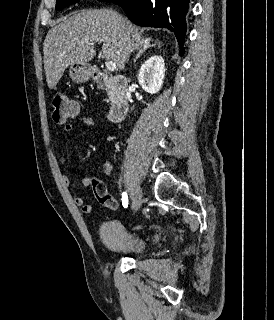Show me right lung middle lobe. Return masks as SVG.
Masks as SVG:
<instances>
[{
	"label": "right lung middle lobe",
	"instance_id": "obj_1",
	"mask_svg": "<svg viewBox=\"0 0 274 320\" xmlns=\"http://www.w3.org/2000/svg\"><path fill=\"white\" fill-rule=\"evenodd\" d=\"M79 0H56V10L60 11L66 6L77 3ZM101 2H110L111 0H98Z\"/></svg>",
	"mask_w": 274,
	"mask_h": 320
}]
</instances>
